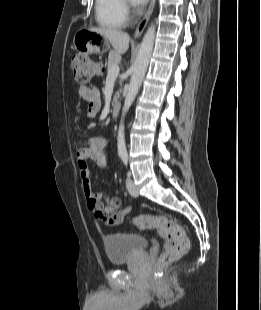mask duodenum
<instances>
[{
  "label": "duodenum",
  "mask_w": 261,
  "mask_h": 310,
  "mask_svg": "<svg viewBox=\"0 0 261 310\" xmlns=\"http://www.w3.org/2000/svg\"><path fill=\"white\" fill-rule=\"evenodd\" d=\"M120 109H121V106L119 103H115L112 107V110H111V115L113 118H116L118 117L119 113H120Z\"/></svg>",
  "instance_id": "410a0bca"
}]
</instances>
